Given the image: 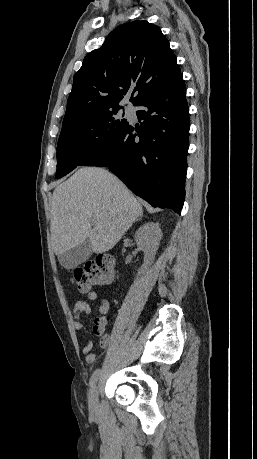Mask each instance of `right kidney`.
Here are the masks:
<instances>
[{
	"label": "right kidney",
	"mask_w": 257,
	"mask_h": 459,
	"mask_svg": "<svg viewBox=\"0 0 257 459\" xmlns=\"http://www.w3.org/2000/svg\"><path fill=\"white\" fill-rule=\"evenodd\" d=\"M162 238V231L158 223L148 222L141 226L135 234V241L144 252V266L149 267L155 258Z\"/></svg>",
	"instance_id": "ca27d5eb"
}]
</instances>
